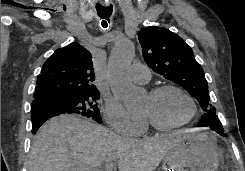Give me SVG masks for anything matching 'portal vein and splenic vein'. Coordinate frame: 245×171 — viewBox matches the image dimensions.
<instances>
[{
	"instance_id": "obj_1",
	"label": "portal vein and splenic vein",
	"mask_w": 245,
	"mask_h": 171,
	"mask_svg": "<svg viewBox=\"0 0 245 171\" xmlns=\"http://www.w3.org/2000/svg\"><path fill=\"white\" fill-rule=\"evenodd\" d=\"M105 170H106V171H112V170H113V162H112V161H108V162L105 164Z\"/></svg>"
}]
</instances>
